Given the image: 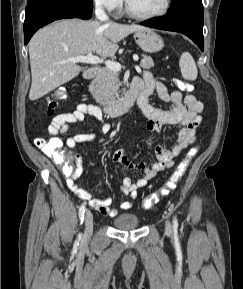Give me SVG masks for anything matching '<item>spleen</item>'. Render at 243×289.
<instances>
[{"label":"spleen","instance_id":"spleen-1","mask_svg":"<svg viewBox=\"0 0 243 289\" xmlns=\"http://www.w3.org/2000/svg\"><path fill=\"white\" fill-rule=\"evenodd\" d=\"M179 67L184 79L194 81L197 78L198 71L192 55L188 52L182 53L179 60Z\"/></svg>","mask_w":243,"mask_h":289}]
</instances>
